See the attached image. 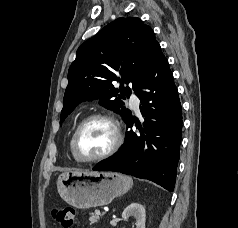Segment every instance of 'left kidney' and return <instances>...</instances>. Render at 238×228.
<instances>
[{
    "instance_id": "5707ae66",
    "label": "left kidney",
    "mask_w": 238,
    "mask_h": 228,
    "mask_svg": "<svg viewBox=\"0 0 238 228\" xmlns=\"http://www.w3.org/2000/svg\"><path fill=\"white\" fill-rule=\"evenodd\" d=\"M136 219V228H145L146 213L143 205L139 203H131L122 213V218L127 220L129 217Z\"/></svg>"
}]
</instances>
